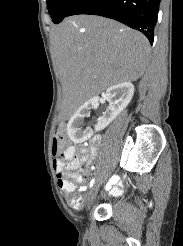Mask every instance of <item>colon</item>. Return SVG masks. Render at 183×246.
<instances>
[{"instance_id": "obj_1", "label": "colon", "mask_w": 183, "mask_h": 246, "mask_svg": "<svg viewBox=\"0 0 183 246\" xmlns=\"http://www.w3.org/2000/svg\"><path fill=\"white\" fill-rule=\"evenodd\" d=\"M66 147V128L64 124L59 123L54 128V134H53V144H52V150L54 156L63 157ZM70 181V187L75 188V182L79 181V177H76L75 175L69 176ZM81 204L80 198H74L73 199V205L75 207H79Z\"/></svg>"}]
</instances>
